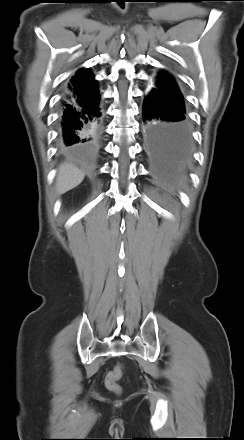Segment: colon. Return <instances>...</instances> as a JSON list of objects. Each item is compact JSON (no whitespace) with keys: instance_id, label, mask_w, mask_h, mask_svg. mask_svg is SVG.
Here are the masks:
<instances>
[{"instance_id":"obj_1","label":"colon","mask_w":244,"mask_h":440,"mask_svg":"<svg viewBox=\"0 0 244 440\" xmlns=\"http://www.w3.org/2000/svg\"><path fill=\"white\" fill-rule=\"evenodd\" d=\"M123 368L122 366H116L112 371H110L105 379V385L108 390L114 393L121 392V386L119 385V380L122 377Z\"/></svg>"}]
</instances>
